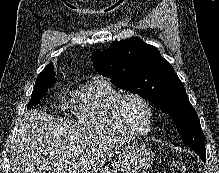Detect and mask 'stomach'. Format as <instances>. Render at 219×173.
<instances>
[{
    "mask_svg": "<svg viewBox=\"0 0 219 173\" xmlns=\"http://www.w3.org/2000/svg\"><path fill=\"white\" fill-rule=\"evenodd\" d=\"M154 160V153L143 143L133 142L127 144L112 162V168L106 166L98 173H139L147 169Z\"/></svg>",
    "mask_w": 219,
    "mask_h": 173,
    "instance_id": "0dacf381",
    "label": "stomach"
}]
</instances>
